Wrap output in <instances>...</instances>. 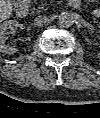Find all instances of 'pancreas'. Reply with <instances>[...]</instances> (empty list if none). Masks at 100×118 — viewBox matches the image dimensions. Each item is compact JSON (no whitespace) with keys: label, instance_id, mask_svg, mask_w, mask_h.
Returning <instances> with one entry per match:
<instances>
[{"label":"pancreas","instance_id":"cf45deb5","mask_svg":"<svg viewBox=\"0 0 100 118\" xmlns=\"http://www.w3.org/2000/svg\"><path fill=\"white\" fill-rule=\"evenodd\" d=\"M43 6H44L43 4H42V5H40V6L38 7V9H42V8H43Z\"/></svg>","mask_w":100,"mask_h":118}]
</instances>
